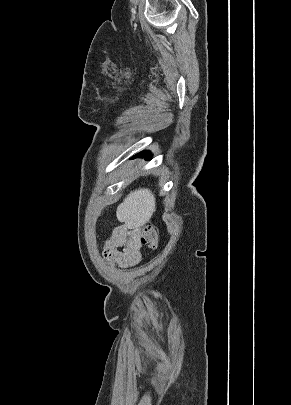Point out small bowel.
<instances>
[{
  "label": "small bowel",
  "instance_id": "c3829d8e",
  "mask_svg": "<svg viewBox=\"0 0 291 405\" xmlns=\"http://www.w3.org/2000/svg\"><path fill=\"white\" fill-rule=\"evenodd\" d=\"M141 242L137 229L123 224L114 229L103 249L104 257L111 262L126 268L135 266L141 261Z\"/></svg>",
  "mask_w": 291,
  "mask_h": 405
}]
</instances>
